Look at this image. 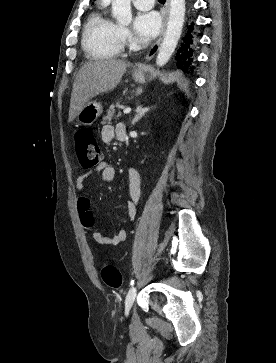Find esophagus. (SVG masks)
<instances>
[{"label": "esophagus", "instance_id": "obj_1", "mask_svg": "<svg viewBox=\"0 0 276 363\" xmlns=\"http://www.w3.org/2000/svg\"><path fill=\"white\" fill-rule=\"evenodd\" d=\"M169 7H170V0H166L165 3V7L163 10V14H164V18H163V23H162V27H161V31H160V35L156 41V43L151 47V49L149 50L147 56H146V61H150L155 54L157 53L159 46L162 42L163 36H164V32H165V27L168 21V14H169ZM143 69H139L137 72L141 73Z\"/></svg>", "mask_w": 276, "mask_h": 363}]
</instances>
